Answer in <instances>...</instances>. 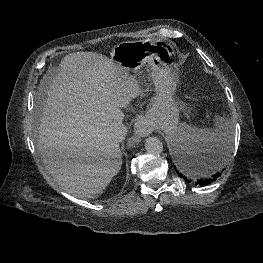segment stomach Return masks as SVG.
<instances>
[{
	"label": "stomach",
	"mask_w": 263,
	"mask_h": 263,
	"mask_svg": "<svg viewBox=\"0 0 263 263\" xmlns=\"http://www.w3.org/2000/svg\"><path fill=\"white\" fill-rule=\"evenodd\" d=\"M175 59V46L162 40L121 42L111 51V60L128 72L137 74L148 64L155 95L144 119L158 125L169 137L176 132L179 113L184 109L183 103L174 96L179 82Z\"/></svg>",
	"instance_id": "obj_1"
}]
</instances>
